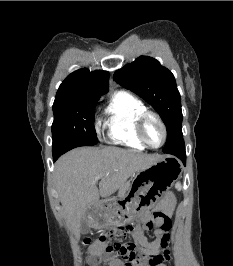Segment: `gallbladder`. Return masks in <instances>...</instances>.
<instances>
[{"label": "gallbladder", "mask_w": 233, "mask_h": 266, "mask_svg": "<svg viewBox=\"0 0 233 266\" xmlns=\"http://www.w3.org/2000/svg\"><path fill=\"white\" fill-rule=\"evenodd\" d=\"M80 231L82 234H86L90 231V225L88 224V221L85 218L81 220Z\"/></svg>", "instance_id": "obj_1"}]
</instances>
